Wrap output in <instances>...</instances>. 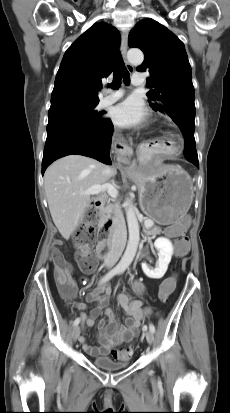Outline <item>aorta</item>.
Instances as JSON below:
<instances>
[{
  "label": "aorta",
  "mask_w": 230,
  "mask_h": 413,
  "mask_svg": "<svg viewBox=\"0 0 230 413\" xmlns=\"http://www.w3.org/2000/svg\"><path fill=\"white\" fill-rule=\"evenodd\" d=\"M127 59L132 64H141L144 60V55L139 49H130L127 53ZM124 206L126 208L129 240L125 253L118 264V267L122 270H125L132 263L140 240L139 223L131 200L127 199Z\"/></svg>",
  "instance_id": "obj_1"
}]
</instances>
